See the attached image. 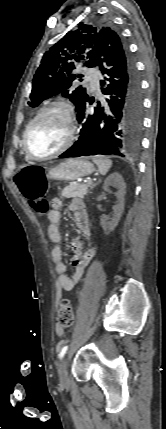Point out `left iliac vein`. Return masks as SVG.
Listing matches in <instances>:
<instances>
[{
    "label": "left iliac vein",
    "mask_w": 166,
    "mask_h": 429,
    "mask_svg": "<svg viewBox=\"0 0 166 429\" xmlns=\"http://www.w3.org/2000/svg\"><path fill=\"white\" fill-rule=\"evenodd\" d=\"M59 379L60 383L62 385L68 384V377H67V358L65 357L59 367Z\"/></svg>",
    "instance_id": "left-iliac-vein-1"
}]
</instances>
